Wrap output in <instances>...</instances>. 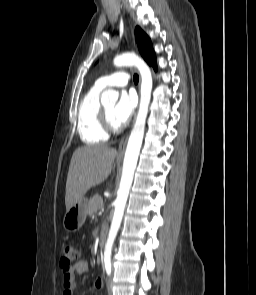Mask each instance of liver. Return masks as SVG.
<instances>
[{
  "instance_id": "6515ba94",
  "label": "liver",
  "mask_w": 256,
  "mask_h": 295,
  "mask_svg": "<svg viewBox=\"0 0 256 295\" xmlns=\"http://www.w3.org/2000/svg\"><path fill=\"white\" fill-rule=\"evenodd\" d=\"M116 155V149L107 145L84 146L74 151L66 181V210L82 199L90 188L106 180Z\"/></svg>"
}]
</instances>
